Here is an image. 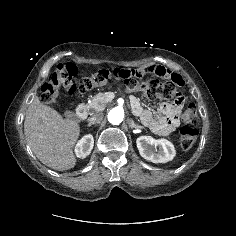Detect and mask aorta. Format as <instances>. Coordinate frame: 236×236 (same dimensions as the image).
<instances>
[{
    "instance_id": "aorta-1",
    "label": "aorta",
    "mask_w": 236,
    "mask_h": 236,
    "mask_svg": "<svg viewBox=\"0 0 236 236\" xmlns=\"http://www.w3.org/2000/svg\"><path fill=\"white\" fill-rule=\"evenodd\" d=\"M107 117L111 124L119 125L123 121L124 110L119 106L114 107L109 111Z\"/></svg>"
}]
</instances>
